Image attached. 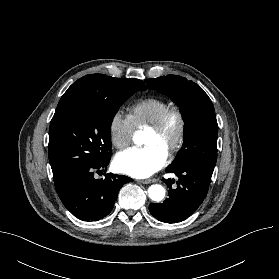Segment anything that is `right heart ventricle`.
<instances>
[{
    "instance_id": "e07e8e85",
    "label": "right heart ventricle",
    "mask_w": 279,
    "mask_h": 279,
    "mask_svg": "<svg viewBox=\"0 0 279 279\" xmlns=\"http://www.w3.org/2000/svg\"><path fill=\"white\" fill-rule=\"evenodd\" d=\"M170 103L158 97L142 99L129 108V116L136 128L151 126Z\"/></svg>"
}]
</instances>
